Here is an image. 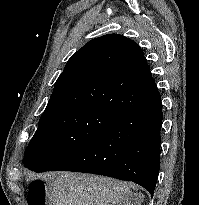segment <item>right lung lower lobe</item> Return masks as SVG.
<instances>
[{
	"mask_svg": "<svg viewBox=\"0 0 199 205\" xmlns=\"http://www.w3.org/2000/svg\"><path fill=\"white\" fill-rule=\"evenodd\" d=\"M143 101L94 142L51 171L93 173L133 181L153 197L160 168L161 96L154 80L129 85Z\"/></svg>",
	"mask_w": 199,
	"mask_h": 205,
	"instance_id": "right-lung-lower-lobe-1",
	"label": "right lung lower lobe"
}]
</instances>
